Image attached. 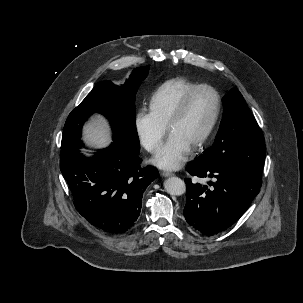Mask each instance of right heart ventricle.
Here are the masks:
<instances>
[{"mask_svg": "<svg viewBox=\"0 0 303 303\" xmlns=\"http://www.w3.org/2000/svg\"><path fill=\"white\" fill-rule=\"evenodd\" d=\"M197 85L184 77L166 80L153 92L149 101L150 111L167 126L182 98Z\"/></svg>", "mask_w": 303, "mask_h": 303, "instance_id": "e07e8e85", "label": "right heart ventricle"}]
</instances>
